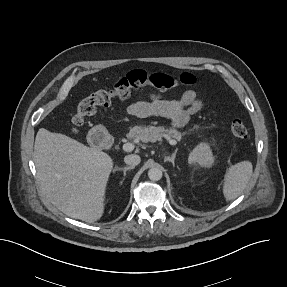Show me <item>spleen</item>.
Returning a JSON list of instances; mask_svg holds the SVG:
<instances>
[{"label": "spleen", "instance_id": "1", "mask_svg": "<svg viewBox=\"0 0 287 287\" xmlns=\"http://www.w3.org/2000/svg\"><path fill=\"white\" fill-rule=\"evenodd\" d=\"M253 173L250 161L231 165L224 175L223 194L227 201L236 199L246 188Z\"/></svg>", "mask_w": 287, "mask_h": 287}]
</instances>
